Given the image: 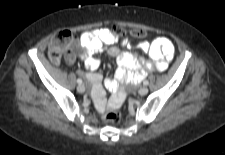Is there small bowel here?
<instances>
[{"label":"small bowel","mask_w":225,"mask_h":155,"mask_svg":"<svg viewBox=\"0 0 225 155\" xmlns=\"http://www.w3.org/2000/svg\"><path fill=\"white\" fill-rule=\"evenodd\" d=\"M116 41L117 39L108 28L86 31L72 40L69 54L66 56L68 63H73L77 56L90 71L86 74V79L92 85V95L99 112H104L108 104L105 100L102 76L95 72L101 63L95 54L107 50L108 54L117 61L116 80L107 79L104 84L113 92L110 96V108L120 112L127 99L125 86L140 82L146 76L147 71H164L175 52L173 43L166 37H157L151 41L142 42L139 45L141 50L151 59V62L145 63L142 67L136 54L119 49L114 45ZM122 43L127 44L128 40L124 39Z\"/></svg>","instance_id":"c3829d8e"}]
</instances>
